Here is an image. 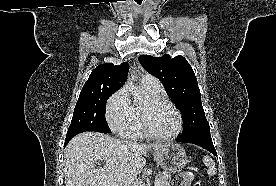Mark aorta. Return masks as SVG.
Here are the masks:
<instances>
[{
  "label": "aorta",
  "mask_w": 276,
  "mask_h": 186,
  "mask_svg": "<svg viewBox=\"0 0 276 186\" xmlns=\"http://www.w3.org/2000/svg\"><path fill=\"white\" fill-rule=\"evenodd\" d=\"M132 80H133V77H130V78H129V81H130V83L133 85Z\"/></svg>",
  "instance_id": "aorta-1"
}]
</instances>
